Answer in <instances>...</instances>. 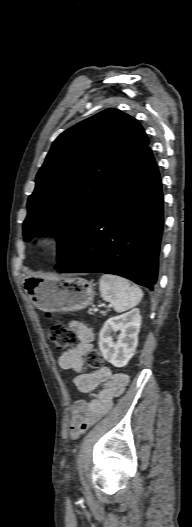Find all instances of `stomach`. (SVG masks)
I'll list each match as a JSON object with an SVG mask.
<instances>
[{
	"instance_id": "obj_1",
	"label": "stomach",
	"mask_w": 192,
	"mask_h": 527,
	"mask_svg": "<svg viewBox=\"0 0 192 527\" xmlns=\"http://www.w3.org/2000/svg\"><path fill=\"white\" fill-rule=\"evenodd\" d=\"M24 287L34 305L46 312L79 311L86 308L95 296L93 284L79 277H27Z\"/></svg>"
}]
</instances>
